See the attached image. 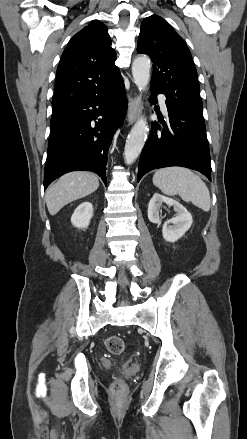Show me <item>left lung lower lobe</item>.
<instances>
[{
    "mask_svg": "<svg viewBox=\"0 0 247 439\" xmlns=\"http://www.w3.org/2000/svg\"><path fill=\"white\" fill-rule=\"evenodd\" d=\"M161 91L151 88V103ZM169 119L155 122L142 150L138 182L147 172L163 167L182 166L197 170L211 180V162L203 114L175 105L166 97Z\"/></svg>",
    "mask_w": 247,
    "mask_h": 439,
    "instance_id": "1",
    "label": "left lung lower lobe"
}]
</instances>
